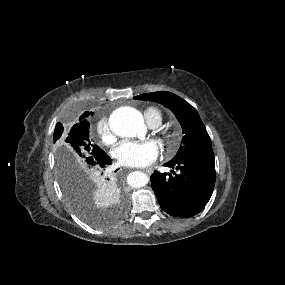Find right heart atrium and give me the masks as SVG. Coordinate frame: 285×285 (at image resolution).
I'll return each mask as SVG.
<instances>
[{
    "instance_id": "d8ad5b80",
    "label": "right heart atrium",
    "mask_w": 285,
    "mask_h": 285,
    "mask_svg": "<svg viewBox=\"0 0 285 285\" xmlns=\"http://www.w3.org/2000/svg\"><path fill=\"white\" fill-rule=\"evenodd\" d=\"M96 131L104 144H110L114 140L108 117H101L96 125Z\"/></svg>"
}]
</instances>
